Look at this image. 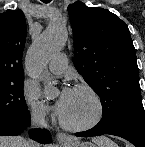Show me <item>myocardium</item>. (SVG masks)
<instances>
[{
	"instance_id": "f54148a6",
	"label": "myocardium",
	"mask_w": 145,
	"mask_h": 147,
	"mask_svg": "<svg viewBox=\"0 0 145 147\" xmlns=\"http://www.w3.org/2000/svg\"><path fill=\"white\" fill-rule=\"evenodd\" d=\"M74 90L85 91L88 93L94 101L95 104V114L94 116L87 122L82 124H70L62 116H60L59 121L62 128L71 132H84L93 129L96 127L103 119L105 109L102 99L100 98L97 91L87 85V84H78L74 87Z\"/></svg>"
}]
</instances>
